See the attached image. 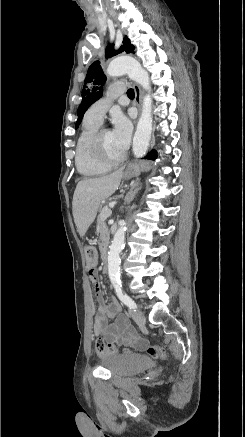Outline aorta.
<instances>
[{"label":"aorta","mask_w":245,"mask_h":437,"mask_svg":"<svg viewBox=\"0 0 245 437\" xmlns=\"http://www.w3.org/2000/svg\"><path fill=\"white\" fill-rule=\"evenodd\" d=\"M128 75L147 92L143 97L142 111L133 138V154L139 158L145 155L152 133V98L151 85L147 71L133 57L124 56L113 60L107 68V75L115 77ZM126 223L119 222L108 252V274L112 282L119 279L120 253L124 247Z\"/></svg>","instance_id":"obj_1"}]
</instances>
